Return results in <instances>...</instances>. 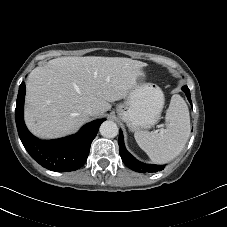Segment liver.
Wrapping results in <instances>:
<instances>
[{"instance_id":"6515ba94","label":"liver","mask_w":227,"mask_h":227,"mask_svg":"<svg viewBox=\"0 0 227 227\" xmlns=\"http://www.w3.org/2000/svg\"><path fill=\"white\" fill-rule=\"evenodd\" d=\"M147 64L123 57H60L31 71L26 82L25 122L43 139L77 131L93 107L100 116L123 99Z\"/></svg>"}]
</instances>
